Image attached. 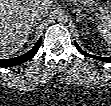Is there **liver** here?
<instances>
[{"mask_svg": "<svg viewBox=\"0 0 111 106\" xmlns=\"http://www.w3.org/2000/svg\"><path fill=\"white\" fill-rule=\"evenodd\" d=\"M49 0L0 1V54L7 57L27 42L33 28V10L38 6L49 8Z\"/></svg>", "mask_w": 111, "mask_h": 106, "instance_id": "obj_1", "label": "liver"}]
</instances>
